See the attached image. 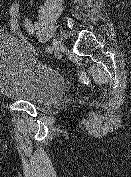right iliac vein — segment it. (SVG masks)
Masks as SVG:
<instances>
[{
	"mask_svg": "<svg viewBox=\"0 0 131 177\" xmlns=\"http://www.w3.org/2000/svg\"><path fill=\"white\" fill-rule=\"evenodd\" d=\"M52 43H53V48L56 51H60L64 49V45L59 39H53Z\"/></svg>",
	"mask_w": 131,
	"mask_h": 177,
	"instance_id": "obj_1",
	"label": "right iliac vein"
}]
</instances>
